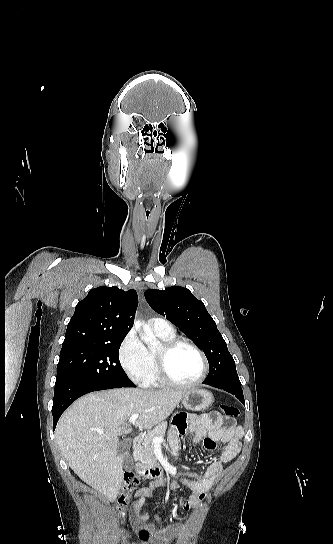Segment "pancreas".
Listing matches in <instances>:
<instances>
[{"label": "pancreas", "instance_id": "obj_1", "mask_svg": "<svg viewBox=\"0 0 333 544\" xmlns=\"http://www.w3.org/2000/svg\"><path fill=\"white\" fill-rule=\"evenodd\" d=\"M167 429V423L163 422L154 429L148 431L147 435L139 441L134 451V457L144 465L157 466V458L154 455V437L163 438Z\"/></svg>", "mask_w": 333, "mask_h": 544}]
</instances>
